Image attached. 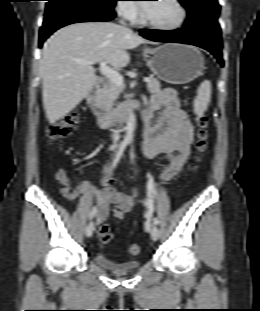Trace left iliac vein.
Segmentation results:
<instances>
[{"label": "left iliac vein", "mask_w": 260, "mask_h": 311, "mask_svg": "<svg viewBox=\"0 0 260 311\" xmlns=\"http://www.w3.org/2000/svg\"><path fill=\"white\" fill-rule=\"evenodd\" d=\"M151 238L156 241L160 236L159 228L156 225H153L150 230Z\"/></svg>", "instance_id": "obj_1"}]
</instances>
